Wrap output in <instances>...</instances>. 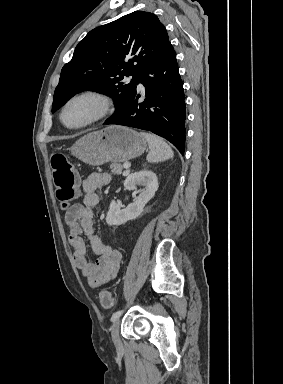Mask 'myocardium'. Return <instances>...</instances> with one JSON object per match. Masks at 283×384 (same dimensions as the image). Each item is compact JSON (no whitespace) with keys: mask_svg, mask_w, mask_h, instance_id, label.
Masks as SVG:
<instances>
[{"mask_svg":"<svg viewBox=\"0 0 283 384\" xmlns=\"http://www.w3.org/2000/svg\"><path fill=\"white\" fill-rule=\"evenodd\" d=\"M90 99L95 102L96 110L94 115L84 123L76 126H68L64 122V113L71 103L79 99ZM112 111V100L108 95L97 90H84L70 96L64 103L60 112V121L62 125L70 130H80L89 127L101 120L106 119Z\"/></svg>","mask_w":283,"mask_h":384,"instance_id":"myocardium-1","label":"myocardium"}]
</instances>
